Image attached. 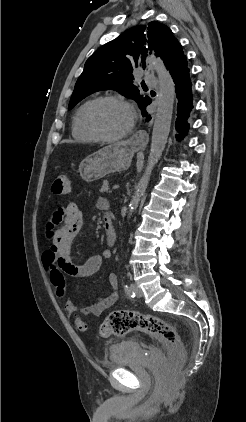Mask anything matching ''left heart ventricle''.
I'll return each mask as SVG.
<instances>
[{"label":"left heart ventricle","mask_w":246,"mask_h":422,"mask_svg":"<svg viewBox=\"0 0 246 422\" xmlns=\"http://www.w3.org/2000/svg\"><path fill=\"white\" fill-rule=\"evenodd\" d=\"M129 110L117 102H103L92 112V122L102 134L115 136L124 132L130 124Z\"/></svg>","instance_id":"left-heart-ventricle-1"}]
</instances>
